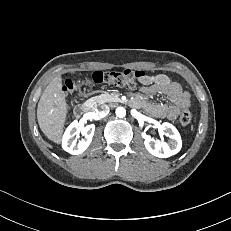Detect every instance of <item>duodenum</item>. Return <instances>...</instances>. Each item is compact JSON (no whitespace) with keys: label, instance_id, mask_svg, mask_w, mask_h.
<instances>
[{"label":"duodenum","instance_id":"duodenum-1","mask_svg":"<svg viewBox=\"0 0 231 231\" xmlns=\"http://www.w3.org/2000/svg\"><path fill=\"white\" fill-rule=\"evenodd\" d=\"M91 111V106L89 104L77 105L74 109V114L76 117H82Z\"/></svg>","mask_w":231,"mask_h":231}]
</instances>
